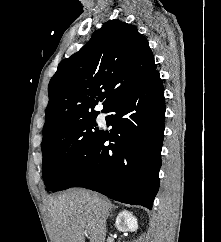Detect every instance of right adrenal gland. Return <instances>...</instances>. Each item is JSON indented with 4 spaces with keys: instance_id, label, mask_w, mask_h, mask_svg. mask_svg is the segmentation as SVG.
<instances>
[{
    "instance_id": "2a0ac1e0",
    "label": "right adrenal gland",
    "mask_w": 221,
    "mask_h": 242,
    "mask_svg": "<svg viewBox=\"0 0 221 242\" xmlns=\"http://www.w3.org/2000/svg\"><path fill=\"white\" fill-rule=\"evenodd\" d=\"M116 208H117V206H113L112 209L115 210ZM109 216H112V214H110Z\"/></svg>"
}]
</instances>
